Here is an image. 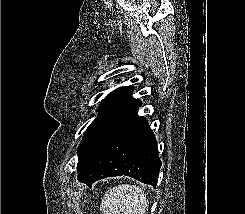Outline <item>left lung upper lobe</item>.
<instances>
[{"instance_id": "left-lung-upper-lobe-1", "label": "left lung upper lobe", "mask_w": 245, "mask_h": 214, "mask_svg": "<svg viewBox=\"0 0 245 214\" xmlns=\"http://www.w3.org/2000/svg\"><path fill=\"white\" fill-rule=\"evenodd\" d=\"M132 91V87H119L102 101L98 116L86 129L78 147L79 156L108 126L141 103L131 96Z\"/></svg>"}]
</instances>
